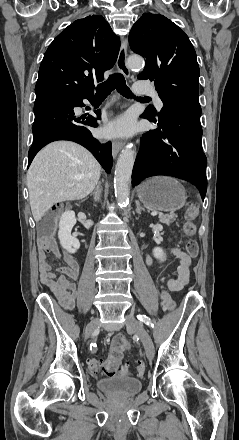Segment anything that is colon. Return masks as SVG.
Masks as SVG:
<instances>
[{
  "instance_id": "5ec220e1",
  "label": "colon",
  "mask_w": 239,
  "mask_h": 440,
  "mask_svg": "<svg viewBox=\"0 0 239 440\" xmlns=\"http://www.w3.org/2000/svg\"><path fill=\"white\" fill-rule=\"evenodd\" d=\"M57 211L63 209V206H57ZM198 216V208L196 205H192L186 212V222L184 224V233L192 237L197 230L196 219ZM54 231V224L49 221L41 231L40 245H48L51 242V236ZM187 253L190 257H196L198 254V244L196 241L191 240L186 246ZM162 305L165 311H172L175 308V304L172 301L169 293L163 291L161 293ZM130 342L124 335H117L113 338L111 343V351L109 357L105 361H99L96 359H90L88 361V368L94 374L114 375L116 373H128L129 370L122 365V354L128 350ZM138 375H142L145 372V363L138 361L136 366Z\"/></svg>"
}]
</instances>
